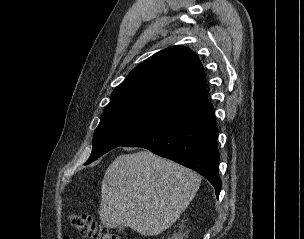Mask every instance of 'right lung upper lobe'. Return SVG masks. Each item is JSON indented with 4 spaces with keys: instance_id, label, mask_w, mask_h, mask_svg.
Returning a JSON list of instances; mask_svg holds the SVG:
<instances>
[{
    "instance_id": "1",
    "label": "right lung upper lobe",
    "mask_w": 304,
    "mask_h": 239,
    "mask_svg": "<svg viewBox=\"0 0 304 239\" xmlns=\"http://www.w3.org/2000/svg\"><path fill=\"white\" fill-rule=\"evenodd\" d=\"M206 102L202 63L189 48L172 46L134 68L114 89L104 113L142 109L172 119Z\"/></svg>"
}]
</instances>
